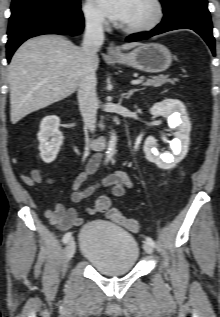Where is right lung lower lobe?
I'll return each instance as SVG.
<instances>
[{
    "instance_id": "obj_1",
    "label": "right lung lower lobe",
    "mask_w": 220,
    "mask_h": 317,
    "mask_svg": "<svg viewBox=\"0 0 220 317\" xmlns=\"http://www.w3.org/2000/svg\"><path fill=\"white\" fill-rule=\"evenodd\" d=\"M84 20L82 12L32 9L11 15L8 27L7 60L25 40L41 34H79Z\"/></svg>"
}]
</instances>
